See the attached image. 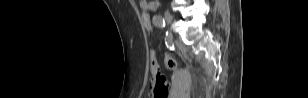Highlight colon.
Listing matches in <instances>:
<instances>
[{
  "label": "colon",
  "instance_id": "colon-1",
  "mask_svg": "<svg viewBox=\"0 0 308 98\" xmlns=\"http://www.w3.org/2000/svg\"><path fill=\"white\" fill-rule=\"evenodd\" d=\"M140 14L143 16L144 26L143 29L146 32H151L154 29V26L152 24V21L150 20V11L142 9L140 11ZM163 61L165 66L168 69L174 70L178 67L177 60L172 57L171 55H164ZM150 67L151 72L153 74V80L151 84V88L153 90L155 98H167L168 97V82L166 78L161 74L160 66L158 64L157 58L154 53H151L150 56Z\"/></svg>",
  "mask_w": 308,
  "mask_h": 98
}]
</instances>
